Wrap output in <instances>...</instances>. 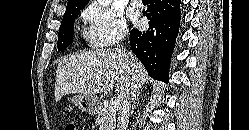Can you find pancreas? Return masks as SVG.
<instances>
[{"instance_id": "pancreas-1", "label": "pancreas", "mask_w": 249, "mask_h": 130, "mask_svg": "<svg viewBox=\"0 0 249 130\" xmlns=\"http://www.w3.org/2000/svg\"><path fill=\"white\" fill-rule=\"evenodd\" d=\"M96 124L100 130H114L116 125V115L110 112L109 106L102 108L98 112Z\"/></svg>"}]
</instances>
